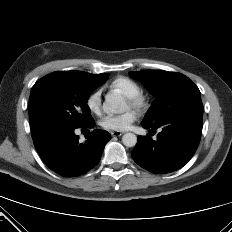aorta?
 I'll list each match as a JSON object with an SVG mask.
<instances>
[{"label": "aorta", "mask_w": 232, "mask_h": 232, "mask_svg": "<svg viewBox=\"0 0 232 232\" xmlns=\"http://www.w3.org/2000/svg\"><path fill=\"white\" fill-rule=\"evenodd\" d=\"M126 107L123 97L117 93H109L103 104V108L107 113L120 114L125 112ZM122 142L126 147H133L137 143V136L133 133H125L122 136Z\"/></svg>", "instance_id": "1"}]
</instances>
